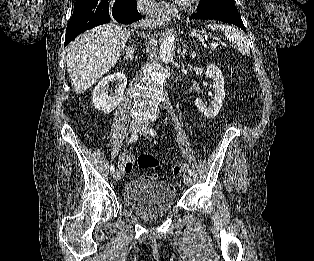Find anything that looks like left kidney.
Wrapping results in <instances>:
<instances>
[{
	"mask_svg": "<svg viewBox=\"0 0 314 261\" xmlns=\"http://www.w3.org/2000/svg\"><path fill=\"white\" fill-rule=\"evenodd\" d=\"M206 76L210 79H213V100L211 101V104L207 106V104L203 102L202 99L197 98L195 105L197 109L206 117L214 118L218 115L222 107V102L225 99L224 78L222 76L221 70L213 64L207 66Z\"/></svg>",
	"mask_w": 314,
	"mask_h": 261,
	"instance_id": "obj_1",
	"label": "left kidney"
}]
</instances>
